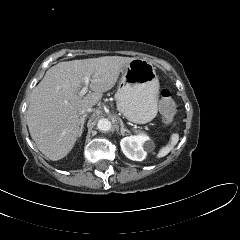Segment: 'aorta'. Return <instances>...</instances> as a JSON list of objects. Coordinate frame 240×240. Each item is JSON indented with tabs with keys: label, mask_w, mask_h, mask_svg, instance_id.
<instances>
[{
	"label": "aorta",
	"mask_w": 240,
	"mask_h": 240,
	"mask_svg": "<svg viewBox=\"0 0 240 240\" xmlns=\"http://www.w3.org/2000/svg\"><path fill=\"white\" fill-rule=\"evenodd\" d=\"M97 128L100 131H109L111 129V122L108 119L102 118L98 121Z\"/></svg>",
	"instance_id": "obj_1"
}]
</instances>
